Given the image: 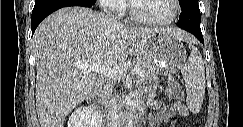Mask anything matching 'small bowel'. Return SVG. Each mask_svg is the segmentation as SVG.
Wrapping results in <instances>:
<instances>
[{
	"instance_id": "obj_1",
	"label": "small bowel",
	"mask_w": 243,
	"mask_h": 127,
	"mask_svg": "<svg viewBox=\"0 0 243 127\" xmlns=\"http://www.w3.org/2000/svg\"><path fill=\"white\" fill-rule=\"evenodd\" d=\"M154 105L159 110L158 116L152 118L151 126H158V121L165 122L171 121L177 116L186 118L189 116L188 108L180 101L174 102L172 105L167 106L162 102H155Z\"/></svg>"
}]
</instances>
